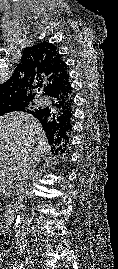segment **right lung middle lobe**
I'll return each mask as SVG.
<instances>
[{
    "mask_svg": "<svg viewBox=\"0 0 118 269\" xmlns=\"http://www.w3.org/2000/svg\"><path fill=\"white\" fill-rule=\"evenodd\" d=\"M29 106V102L0 105V116L13 111H24Z\"/></svg>",
    "mask_w": 118,
    "mask_h": 269,
    "instance_id": "1",
    "label": "right lung middle lobe"
}]
</instances>
